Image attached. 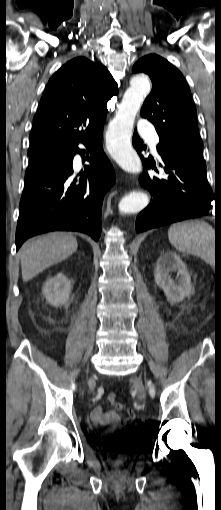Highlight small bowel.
Returning a JSON list of instances; mask_svg holds the SVG:
<instances>
[{
    "label": "small bowel",
    "instance_id": "small-bowel-1",
    "mask_svg": "<svg viewBox=\"0 0 221 510\" xmlns=\"http://www.w3.org/2000/svg\"><path fill=\"white\" fill-rule=\"evenodd\" d=\"M124 407L120 404L118 409H123ZM91 419L101 425H110L115 426L120 423L121 418L118 412L116 411H104L101 406H95L91 409Z\"/></svg>",
    "mask_w": 221,
    "mask_h": 510
}]
</instances>
